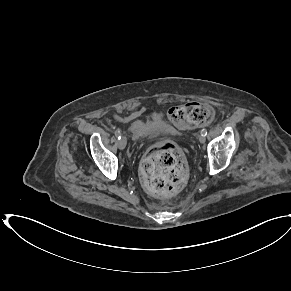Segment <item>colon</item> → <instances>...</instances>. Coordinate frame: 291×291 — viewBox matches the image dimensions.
<instances>
[{
    "instance_id": "5ec220e1",
    "label": "colon",
    "mask_w": 291,
    "mask_h": 291,
    "mask_svg": "<svg viewBox=\"0 0 291 291\" xmlns=\"http://www.w3.org/2000/svg\"><path fill=\"white\" fill-rule=\"evenodd\" d=\"M213 115L212 107L200 102L173 106L167 112L168 119L181 129L208 124L212 121ZM140 176L149 194H172L178 191L186 180L184 155L173 143L162 142L142 161Z\"/></svg>"
}]
</instances>
